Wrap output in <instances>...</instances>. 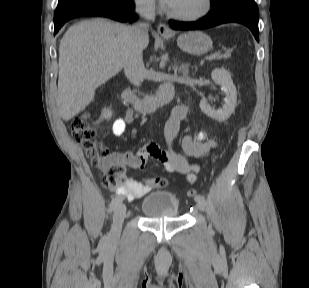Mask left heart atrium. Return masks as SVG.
<instances>
[{
  "mask_svg": "<svg viewBox=\"0 0 309 288\" xmlns=\"http://www.w3.org/2000/svg\"><path fill=\"white\" fill-rule=\"evenodd\" d=\"M174 0H162V2L167 5L168 7L171 6V4L173 3Z\"/></svg>",
  "mask_w": 309,
  "mask_h": 288,
  "instance_id": "left-heart-atrium-1",
  "label": "left heart atrium"
}]
</instances>
